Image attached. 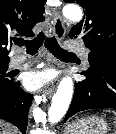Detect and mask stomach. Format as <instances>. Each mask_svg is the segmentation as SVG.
Masks as SVG:
<instances>
[{
  "instance_id": "0dacf381",
  "label": "stomach",
  "mask_w": 116,
  "mask_h": 134,
  "mask_svg": "<svg viewBox=\"0 0 116 134\" xmlns=\"http://www.w3.org/2000/svg\"><path fill=\"white\" fill-rule=\"evenodd\" d=\"M108 125L105 120L96 116H88L70 123L65 134H107Z\"/></svg>"
}]
</instances>
